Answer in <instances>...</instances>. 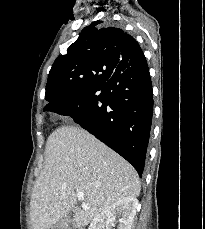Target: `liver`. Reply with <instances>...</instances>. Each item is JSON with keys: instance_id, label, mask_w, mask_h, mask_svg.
Segmentation results:
<instances>
[{"instance_id": "6515ba94", "label": "liver", "mask_w": 205, "mask_h": 229, "mask_svg": "<svg viewBox=\"0 0 205 229\" xmlns=\"http://www.w3.org/2000/svg\"><path fill=\"white\" fill-rule=\"evenodd\" d=\"M141 186L133 166L78 126H62L48 138L43 170L34 185L33 229H48L74 210L73 224L85 227L120 199L137 197ZM84 193L82 208L75 207Z\"/></svg>"}]
</instances>
